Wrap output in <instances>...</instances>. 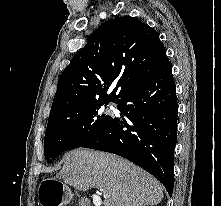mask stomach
<instances>
[{
  "label": "stomach",
  "mask_w": 221,
  "mask_h": 206,
  "mask_svg": "<svg viewBox=\"0 0 221 206\" xmlns=\"http://www.w3.org/2000/svg\"><path fill=\"white\" fill-rule=\"evenodd\" d=\"M44 184L51 187V192L47 195L40 190L39 204L40 206H64L72 199L71 189L63 182L48 179L44 181Z\"/></svg>",
  "instance_id": "obj_1"
}]
</instances>
